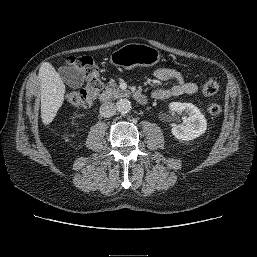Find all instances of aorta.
I'll return each instance as SVG.
<instances>
[{"label":"aorta","mask_w":257,"mask_h":257,"mask_svg":"<svg viewBox=\"0 0 257 257\" xmlns=\"http://www.w3.org/2000/svg\"><path fill=\"white\" fill-rule=\"evenodd\" d=\"M116 109L120 113H128L131 110V102L128 99H120L116 103Z\"/></svg>","instance_id":"762f6f07"}]
</instances>
